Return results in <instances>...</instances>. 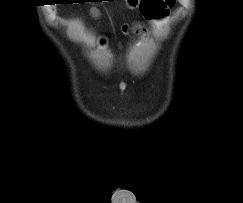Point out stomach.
<instances>
[{
    "instance_id": "0dacf381",
    "label": "stomach",
    "mask_w": 243,
    "mask_h": 203,
    "mask_svg": "<svg viewBox=\"0 0 243 203\" xmlns=\"http://www.w3.org/2000/svg\"><path fill=\"white\" fill-rule=\"evenodd\" d=\"M141 0H125V3L128 8L135 9L139 6Z\"/></svg>"
}]
</instances>
